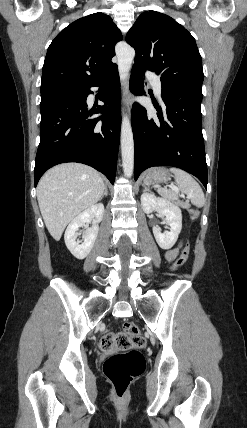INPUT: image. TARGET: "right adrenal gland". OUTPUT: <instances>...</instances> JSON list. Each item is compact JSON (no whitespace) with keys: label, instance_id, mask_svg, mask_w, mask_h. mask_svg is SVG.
Segmentation results:
<instances>
[{"label":"right adrenal gland","instance_id":"obj_1","mask_svg":"<svg viewBox=\"0 0 247 428\" xmlns=\"http://www.w3.org/2000/svg\"><path fill=\"white\" fill-rule=\"evenodd\" d=\"M107 195H108V189H107V186L104 185V192H103V194H102V196H101L100 199H102L104 196H107Z\"/></svg>","mask_w":247,"mask_h":428}]
</instances>
